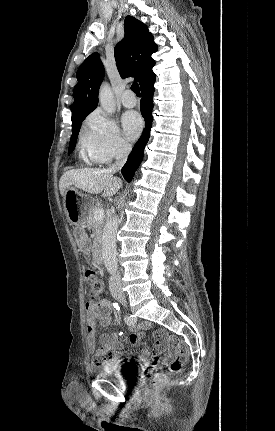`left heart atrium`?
Instances as JSON below:
<instances>
[{
  "label": "left heart atrium",
  "mask_w": 275,
  "mask_h": 431,
  "mask_svg": "<svg viewBox=\"0 0 275 431\" xmlns=\"http://www.w3.org/2000/svg\"><path fill=\"white\" fill-rule=\"evenodd\" d=\"M123 129L130 140L136 139L144 126L143 119L135 111H129L122 118Z\"/></svg>",
  "instance_id": "obj_1"
}]
</instances>
